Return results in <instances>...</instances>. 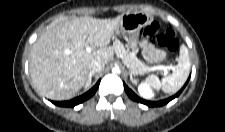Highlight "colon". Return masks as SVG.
Segmentation results:
<instances>
[{
  "label": "colon",
  "mask_w": 225,
  "mask_h": 132,
  "mask_svg": "<svg viewBox=\"0 0 225 132\" xmlns=\"http://www.w3.org/2000/svg\"><path fill=\"white\" fill-rule=\"evenodd\" d=\"M141 35L151 43L158 44L162 49L174 52L179 47V41L175 33L168 29L164 32H160L158 23L152 22L141 30Z\"/></svg>",
  "instance_id": "5ec220e1"
}]
</instances>
